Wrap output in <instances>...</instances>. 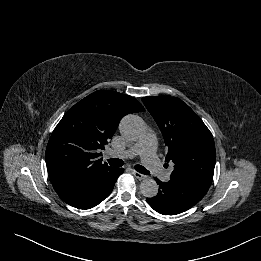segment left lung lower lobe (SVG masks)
<instances>
[{"instance_id":"0a47b994","label":"left lung lower lobe","mask_w":261,"mask_h":261,"mask_svg":"<svg viewBox=\"0 0 261 261\" xmlns=\"http://www.w3.org/2000/svg\"><path fill=\"white\" fill-rule=\"evenodd\" d=\"M159 185L158 194L147 198V203L158 213L175 215L182 213L197 204L207 193L209 187L188 180L171 179L161 182L155 178Z\"/></svg>"}]
</instances>
